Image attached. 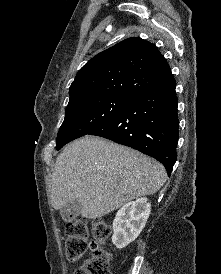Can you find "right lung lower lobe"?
<instances>
[{
    "label": "right lung lower lobe",
    "mask_w": 221,
    "mask_h": 274,
    "mask_svg": "<svg viewBox=\"0 0 221 274\" xmlns=\"http://www.w3.org/2000/svg\"><path fill=\"white\" fill-rule=\"evenodd\" d=\"M172 73L153 84L108 122L91 132L134 148L161 162L171 174L177 160L178 115Z\"/></svg>",
    "instance_id": "98d812e1"
}]
</instances>
